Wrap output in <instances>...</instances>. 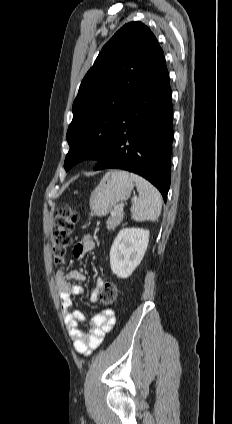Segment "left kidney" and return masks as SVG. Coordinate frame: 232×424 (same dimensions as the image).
<instances>
[{"instance_id":"obj_1","label":"left kidney","mask_w":232,"mask_h":424,"mask_svg":"<svg viewBox=\"0 0 232 424\" xmlns=\"http://www.w3.org/2000/svg\"><path fill=\"white\" fill-rule=\"evenodd\" d=\"M149 242V230L123 228L110 250V266L119 278H128L142 261Z\"/></svg>"}]
</instances>
